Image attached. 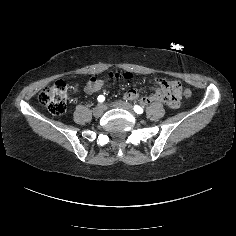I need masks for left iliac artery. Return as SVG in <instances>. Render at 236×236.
Here are the masks:
<instances>
[{
	"label": "left iliac artery",
	"instance_id": "obj_1",
	"mask_svg": "<svg viewBox=\"0 0 236 236\" xmlns=\"http://www.w3.org/2000/svg\"><path fill=\"white\" fill-rule=\"evenodd\" d=\"M133 109L137 114H142L143 113V108H141L138 105H135Z\"/></svg>",
	"mask_w": 236,
	"mask_h": 236
}]
</instances>
